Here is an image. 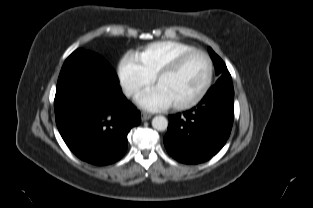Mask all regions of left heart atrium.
Here are the masks:
<instances>
[{"label":"left heart atrium","mask_w":313,"mask_h":208,"mask_svg":"<svg viewBox=\"0 0 313 208\" xmlns=\"http://www.w3.org/2000/svg\"><path fill=\"white\" fill-rule=\"evenodd\" d=\"M137 102L144 109L152 111L166 109L172 105L170 100L157 86L139 94Z\"/></svg>","instance_id":"obj_1"}]
</instances>
